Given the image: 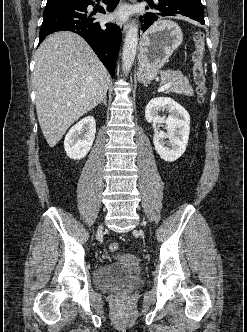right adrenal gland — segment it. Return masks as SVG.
I'll use <instances>...</instances> for the list:
<instances>
[{"label": "right adrenal gland", "instance_id": "1", "mask_svg": "<svg viewBox=\"0 0 247 332\" xmlns=\"http://www.w3.org/2000/svg\"><path fill=\"white\" fill-rule=\"evenodd\" d=\"M106 99H107V96H104L103 100L100 103H103L106 106L107 105Z\"/></svg>", "mask_w": 247, "mask_h": 332}]
</instances>
